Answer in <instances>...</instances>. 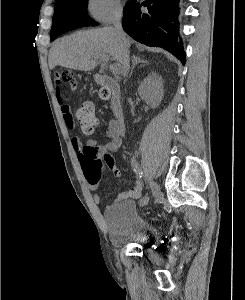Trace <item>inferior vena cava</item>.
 Masks as SVG:
<instances>
[{"label":"inferior vena cava","instance_id":"inferior-vena-cava-1","mask_svg":"<svg viewBox=\"0 0 245 300\" xmlns=\"http://www.w3.org/2000/svg\"><path fill=\"white\" fill-rule=\"evenodd\" d=\"M114 25V29L118 35V37L124 41V33L122 30V25H121V16L116 17V19L113 22ZM123 67H124V71L125 73L128 72L129 70V49L128 46L125 44V52H124V62H123Z\"/></svg>","mask_w":245,"mask_h":300}]
</instances>
